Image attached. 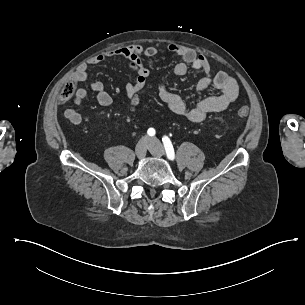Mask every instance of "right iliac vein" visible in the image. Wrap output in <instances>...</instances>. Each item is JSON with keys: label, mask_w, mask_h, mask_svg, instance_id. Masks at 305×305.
I'll return each instance as SVG.
<instances>
[{"label": "right iliac vein", "mask_w": 305, "mask_h": 305, "mask_svg": "<svg viewBox=\"0 0 305 305\" xmlns=\"http://www.w3.org/2000/svg\"><path fill=\"white\" fill-rule=\"evenodd\" d=\"M149 142L146 138H142L136 145L135 153L138 158L142 159L145 157L147 149H148Z\"/></svg>", "instance_id": "63e3f726"}]
</instances>
